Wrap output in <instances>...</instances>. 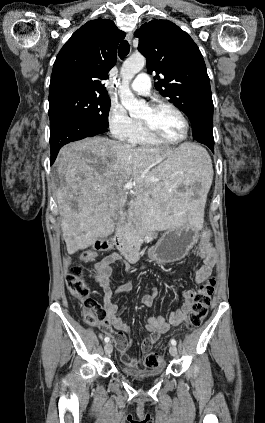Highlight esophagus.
Instances as JSON below:
<instances>
[{
  "label": "esophagus",
  "mask_w": 265,
  "mask_h": 423,
  "mask_svg": "<svg viewBox=\"0 0 265 423\" xmlns=\"http://www.w3.org/2000/svg\"><path fill=\"white\" fill-rule=\"evenodd\" d=\"M132 38H133V34H132L131 32H128V33L126 34V40H127L129 43H131Z\"/></svg>",
  "instance_id": "obj_1"
}]
</instances>
